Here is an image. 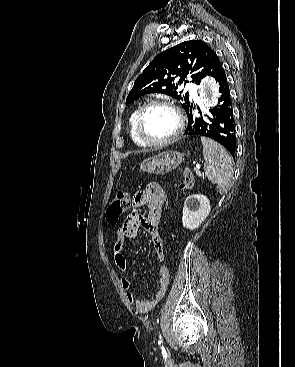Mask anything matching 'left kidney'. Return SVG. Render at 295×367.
Here are the masks:
<instances>
[{
    "label": "left kidney",
    "mask_w": 295,
    "mask_h": 367,
    "mask_svg": "<svg viewBox=\"0 0 295 367\" xmlns=\"http://www.w3.org/2000/svg\"><path fill=\"white\" fill-rule=\"evenodd\" d=\"M210 210V201L206 196L200 194L189 195L183 207V226L190 230L198 228L207 218Z\"/></svg>",
    "instance_id": "obj_1"
}]
</instances>
